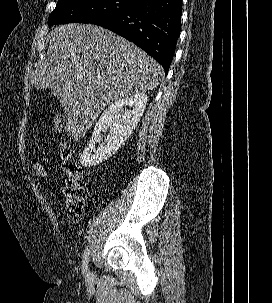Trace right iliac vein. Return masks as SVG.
Here are the masks:
<instances>
[{"label": "right iliac vein", "mask_w": 272, "mask_h": 303, "mask_svg": "<svg viewBox=\"0 0 272 303\" xmlns=\"http://www.w3.org/2000/svg\"><path fill=\"white\" fill-rule=\"evenodd\" d=\"M87 277H88L89 279H92L93 275L91 274V272H88V273H87Z\"/></svg>", "instance_id": "63e3f726"}]
</instances>
